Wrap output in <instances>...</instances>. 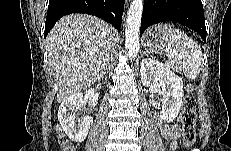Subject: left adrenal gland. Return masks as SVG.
I'll use <instances>...</instances> for the list:
<instances>
[{"label":"left adrenal gland","mask_w":231,"mask_h":151,"mask_svg":"<svg viewBox=\"0 0 231 151\" xmlns=\"http://www.w3.org/2000/svg\"><path fill=\"white\" fill-rule=\"evenodd\" d=\"M146 55V52H143V55L142 56H145Z\"/></svg>","instance_id":"obj_1"}]
</instances>
